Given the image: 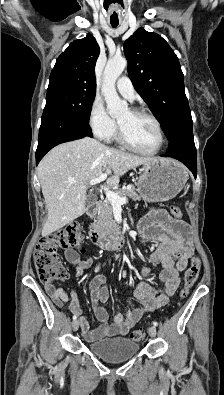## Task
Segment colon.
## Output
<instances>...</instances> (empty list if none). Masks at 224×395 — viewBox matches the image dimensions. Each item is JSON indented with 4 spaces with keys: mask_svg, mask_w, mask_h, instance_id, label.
<instances>
[{
    "mask_svg": "<svg viewBox=\"0 0 224 395\" xmlns=\"http://www.w3.org/2000/svg\"><path fill=\"white\" fill-rule=\"evenodd\" d=\"M170 212L175 218L182 217V211L178 206H171ZM82 242L80 228L77 225H67L55 232L42 237L34 252V264L37 274L43 283L63 281L68 277V272L61 262L58 249L79 248ZM201 262L198 256H193L190 265L185 271L184 282L179 291V298L184 299L200 273ZM134 341H142L145 338L144 330L137 329L130 335Z\"/></svg>",
    "mask_w": 224,
    "mask_h": 395,
    "instance_id": "obj_1",
    "label": "colon"
}]
</instances>
